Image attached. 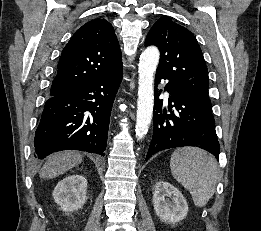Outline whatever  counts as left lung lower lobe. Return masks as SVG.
Masks as SVG:
<instances>
[{"label": "left lung lower lobe", "instance_id": "left-lung-lower-lobe-1", "mask_svg": "<svg viewBox=\"0 0 261 231\" xmlns=\"http://www.w3.org/2000/svg\"><path fill=\"white\" fill-rule=\"evenodd\" d=\"M161 79L167 78L156 73L154 130L146 160L159 151L182 146L202 148L218 159L220 146L211 107L186 98L173 83L168 81L165 89L170 93L168 109L171 114H166V109L162 107L163 101L159 99L157 92V86ZM172 102L174 105L171 104ZM172 107L175 110H172Z\"/></svg>", "mask_w": 261, "mask_h": 231}]
</instances>
